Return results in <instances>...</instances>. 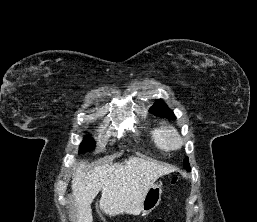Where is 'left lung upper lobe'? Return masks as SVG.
Segmentation results:
<instances>
[{
    "label": "left lung upper lobe",
    "mask_w": 257,
    "mask_h": 222,
    "mask_svg": "<svg viewBox=\"0 0 257 222\" xmlns=\"http://www.w3.org/2000/svg\"><path fill=\"white\" fill-rule=\"evenodd\" d=\"M150 111L158 116L165 117L167 119L175 120V115L168 108V106L161 100H157L154 105L150 108ZM184 166L187 170H190V165L188 161V157L184 159Z\"/></svg>",
    "instance_id": "5c2ea615"
}]
</instances>
